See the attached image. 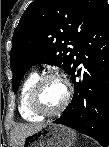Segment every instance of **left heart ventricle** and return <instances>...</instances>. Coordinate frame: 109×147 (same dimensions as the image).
I'll use <instances>...</instances> for the list:
<instances>
[{
  "label": "left heart ventricle",
  "instance_id": "b2bd125f",
  "mask_svg": "<svg viewBox=\"0 0 109 147\" xmlns=\"http://www.w3.org/2000/svg\"><path fill=\"white\" fill-rule=\"evenodd\" d=\"M65 86L58 79L46 81L40 89L37 102L44 110L56 109L65 98Z\"/></svg>",
  "mask_w": 109,
  "mask_h": 147
}]
</instances>
